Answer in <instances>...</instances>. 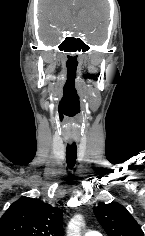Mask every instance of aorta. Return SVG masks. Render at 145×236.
<instances>
[{
	"label": "aorta",
	"mask_w": 145,
	"mask_h": 236,
	"mask_svg": "<svg viewBox=\"0 0 145 236\" xmlns=\"http://www.w3.org/2000/svg\"><path fill=\"white\" fill-rule=\"evenodd\" d=\"M83 224V217L75 215L68 225V236H81V226Z\"/></svg>",
	"instance_id": "762f6f07"
}]
</instances>
